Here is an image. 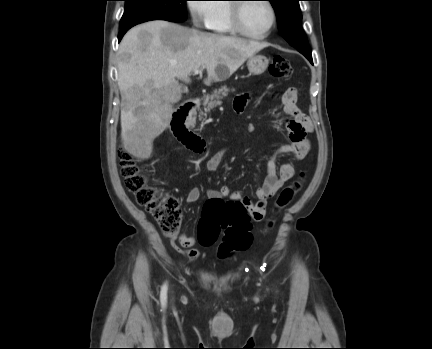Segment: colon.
Returning <instances> with one entry per match:
<instances>
[{"mask_svg": "<svg viewBox=\"0 0 432 349\" xmlns=\"http://www.w3.org/2000/svg\"><path fill=\"white\" fill-rule=\"evenodd\" d=\"M269 73L276 78H287L292 74V66L286 58L278 55L270 64ZM118 157L125 185L135 195L137 203L154 216L165 235H175L179 231L182 216L179 199L150 185L147 169L140 166L126 149H120ZM302 180L282 190L276 201V209L292 200L301 189ZM251 220L247 207L240 201L209 200L199 223V242L203 246H210L222 233L218 256L221 259L228 258L251 245Z\"/></svg>", "mask_w": 432, "mask_h": 349, "instance_id": "obj_1", "label": "colon"}]
</instances>
